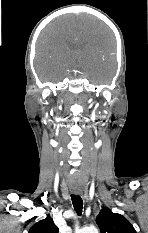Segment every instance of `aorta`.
I'll return each mask as SVG.
<instances>
[{"label": "aorta", "instance_id": "aorta-1", "mask_svg": "<svg viewBox=\"0 0 148 233\" xmlns=\"http://www.w3.org/2000/svg\"><path fill=\"white\" fill-rule=\"evenodd\" d=\"M77 233H99V232L94 226H90L78 230Z\"/></svg>", "mask_w": 148, "mask_h": 233}]
</instances>
